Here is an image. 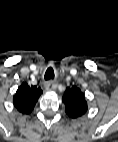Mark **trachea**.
I'll list each match as a JSON object with an SVG mask.
<instances>
[{"mask_svg": "<svg viewBox=\"0 0 118 142\" xmlns=\"http://www.w3.org/2000/svg\"><path fill=\"white\" fill-rule=\"evenodd\" d=\"M44 79H45L46 81L54 79V70H53L52 67H49V68L46 70L45 75H44Z\"/></svg>", "mask_w": 118, "mask_h": 142, "instance_id": "trachea-1", "label": "trachea"}]
</instances>
